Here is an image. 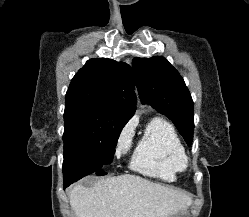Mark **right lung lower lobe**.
Returning a JSON list of instances; mask_svg holds the SVG:
<instances>
[{
    "label": "right lung lower lobe",
    "instance_id": "right-lung-lower-lobe-1",
    "mask_svg": "<svg viewBox=\"0 0 249 217\" xmlns=\"http://www.w3.org/2000/svg\"><path fill=\"white\" fill-rule=\"evenodd\" d=\"M94 173L98 176L106 175L102 168H97L91 159L76 153L64 152L63 175L64 189L83 176Z\"/></svg>",
    "mask_w": 249,
    "mask_h": 217
}]
</instances>
